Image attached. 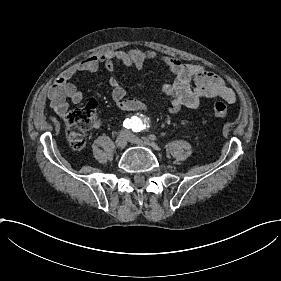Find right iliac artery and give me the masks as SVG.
Masks as SVG:
<instances>
[{
	"label": "right iliac artery",
	"instance_id": "1",
	"mask_svg": "<svg viewBox=\"0 0 281 281\" xmlns=\"http://www.w3.org/2000/svg\"><path fill=\"white\" fill-rule=\"evenodd\" d=\"M123 126H124L125 128H127V129L132 128V126H133L132 120L127 118V119L123 122Z\"/></svg>",
	"mask_w": 281,
	"mask_h": 281
}]
</instances>
